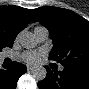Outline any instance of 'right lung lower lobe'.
Here are the masks:
<instances>
[{"label":"right lung lower lobe","instance_id":"98d812e1","mask_svg":"<svg viewBox=\"0 0 89 89\" xmlns=\"http://www.w3.org/2000/svg\"><path fill=\"white\" fill-rule=\"evenodd\" d=\"M26 66L13 62L0 70V85L2 89H15L19 77L26 72Z\"/></svg>","mask_w":89,"mask_h":89}]
</instances>
